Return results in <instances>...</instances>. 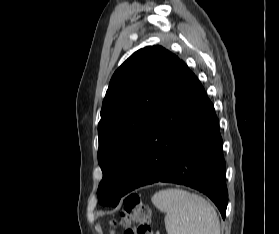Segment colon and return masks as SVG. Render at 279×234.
I'll list each match as a JSON object with an SVG mask.
<instances>
[{"instance_id": "colon-1", "label": "colon", "mask_w": 279, "mask_h": 234, "mask_svg": "<svg viewBox=\"0 0 279 234\" xmlns=\"http://www.w3.org/2000/svg\"><path fill=\"white\" fill-rule=\"evenodd\" d=\"M119 224L124 227V234H152L150 212L137 195L125 199Z\"/></svg>"}]
</instances>
